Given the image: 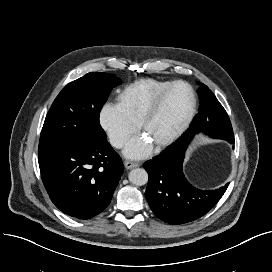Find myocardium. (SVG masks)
I'll return each instance as SVG.
<instances>
[{"instance_id":"f54148a6","label":"myocardium","mask_w":272,"mask_h":272,"mask_svg":"<svg viewBox=\"0 0 272 272\" xmlns=\"http://www.w3.org/2000/svg\"><path fill=\"white\" fill-rule=\"evenodd\" d=\"M177 86H184L188 90L190 95V107L184 120L177 127V129L172 134H170L167 138H165L161 142L154 145L156 150L164 149L168 147L169 145H171L173 142H175L187 130V128L191 124L196 113L197 100H196V95L193 88L184 81H175V82H172L168 87H166L162 92H160L152 101V103L147 107V109L143 113L142 118L139 122V130L140 131L144 130L147 123L160 109L163 102L165 101L167 96L170 94V92Z\"/></svg>"}]
</instances>
